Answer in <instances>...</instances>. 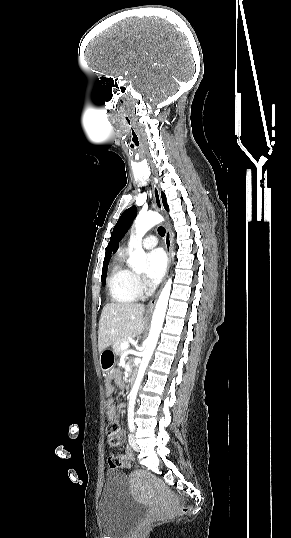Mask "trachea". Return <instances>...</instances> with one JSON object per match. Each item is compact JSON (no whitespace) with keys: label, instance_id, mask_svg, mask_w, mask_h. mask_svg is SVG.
Masks as SVG:
<instances>
[{"label":"trachea","instance_id":"3493384b","mask_svg":"<svg viewBox=\"0 0 291 538\" xmlns=\"http://www.w3.org/2000/svg\"><path fill=\"white\" fill-rule=\"evenodd\" d=\"M158 233H159L160 236L164 237V236H165V233H166L165 228L162 227V226H160V227L158 228Z\"/></svg>","mask_w":291,"mask_h":538}]
</instances>
